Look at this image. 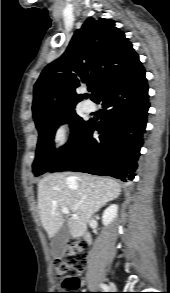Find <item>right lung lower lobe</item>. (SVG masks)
<instances>
[{
  "mask_svg": "<svg viewBox=\"0 0 170 293\" xmlns=\"http://www.w3.org/2000/svg\"><path fill=\"white\" fill-rule=\"evenodd\" d=\"M95 102L103 106L101 121H87L49 172H86L128 182L137 169L150 106L144 68L107 86ZM94 130L98 137L92 136Z\"/></svg>",
  "mask_w": 170,
  "mask_h": 293,
  "instance_id": "1",
  "label": "right lung lower lobe"
}]
</instances>
